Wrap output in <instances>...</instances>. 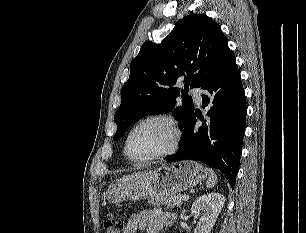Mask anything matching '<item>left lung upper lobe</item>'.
Wrapping results in <instances>:
<instances>
[{
  "instance_id": "left-lung-upper-lobe-1",
  "label": "left lung upper lobe",
  "mask_w": 306,
  "mask_h": 233,
  "mask_svg": "<svg viewBox=\"0 0 306 233\" xmlns=\"http://www.w3.org/2000/svg\"><path fill=\"white\" fill-rule=\"evenodd\" d=\"M229 50L220 26L206 14H193L178 21L161 43H144L132 60L129 79L121 89L113 139L121 137L132 122L146 115L171 111L183 129L194 110L192 98L184 97L186 91L189 87H201ZM181 77L185 90L174 87ZM180 93L184 101L175 107Z\"/></svg>"
}]
</instances>
